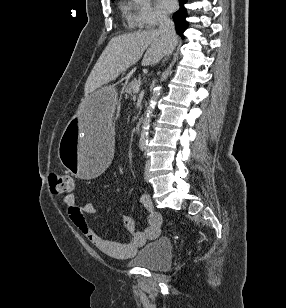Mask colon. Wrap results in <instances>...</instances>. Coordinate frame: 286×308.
<instances>
[{"label": "colon", "instance_id": "1", "mask_svg": "<svg viewBox=\"0 0 286 308\" xmlns=\"http://www.w3.org/2000/svg\"><path fill=\"white\" fill-rule=\"evenodd\" d=\"M50 186L56 194L71 193L74 189V181L70 175L54 173L50 177Z\"/></svg>", "mask_w": 286, "mask_h": 308}]
</instances>
